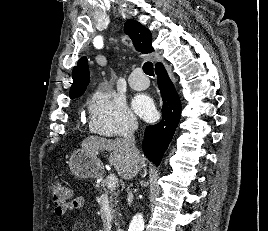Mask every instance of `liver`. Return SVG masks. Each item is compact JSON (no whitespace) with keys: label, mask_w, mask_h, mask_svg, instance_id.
Segmentation results:
<instances>
[{"label":"liver","mask_w":268,"mask_h":231,"mask_svg":"<svg viewBox=\"0 0 268 231\" xmlns=\"http://www.w3.org/2000/svg\"><path fill=\"white\" fill-rule=\"evenodd\" d=\"M82 148L97 155L100 151L110 152L109 163L114 166L118 175L124 179L132 178L142 168L144 159L140 155L138 162H133L130 152L125 146L123 139H105L97 136H90L82 141Z\"/></svg>","instance_id":"6515ba94"}]
</instances>
